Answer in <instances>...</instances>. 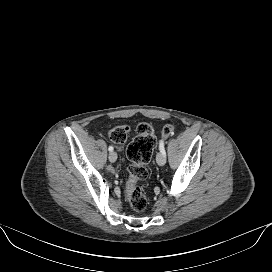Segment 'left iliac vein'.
Instances as JSON below:
<instances>
[{"instance_id":"4c4485c4","label":"left iliac vein","mask_w":272,"mask_h":272,"mask_svg":"<svg viewBox=\"0 0 272 272\" xmlns=\"http://www.w3.org/2000/svg\"><path fill=\"white\" fill-rule=\"evenodd\" d=\"M156 161L158 165L163 166L166 163V155L163 154L162 152L158 153L156 156Z\"/></svg>"}]
</instances>
